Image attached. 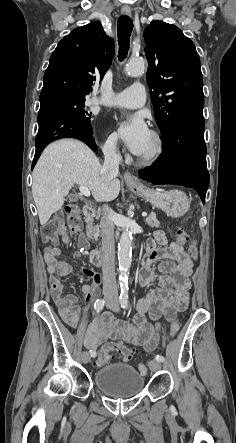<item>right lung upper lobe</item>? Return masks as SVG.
Instances as JSON below:
<instances>
[{
  "label": "right lung upper lobe",
  "instance_id": "obj_1",
  "mask_svg": "<svg viewBox=\"0 0 236 443\" xmlns=\"http://www.w3.org/2000/svg\"><path fill=\"white\" fill-rule=\"evenodd\" d=\"M114 56V40L100 21L74 29L58 43L44 74L40 102L56 94L85 96L103 78Z\"/></svg>",
  "mask_w": 236,
  "mask_h": 443
}]
</instances>
